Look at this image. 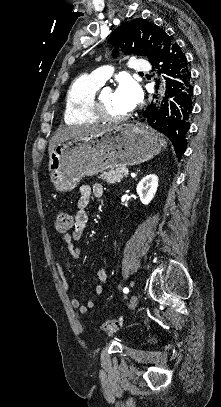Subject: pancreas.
<instances>
[{
    "instance_id": "obj_1",
    "label": "pancreas",
    "mask_w": 221,
    "mask_h": 407,
    "mask_svg": "<svg viewBox=\"0 0 221 407\" xmlns=\"http://www.w3.org/2000/svg\"><path fill=\"white\" fill-rule=\"evenodd\" d=\"M128 171L125 167H119L116 169H110L106 172H102L99 178L107 183L120 182L125 177V172Z\"/></svg>"
}]
</instances>
